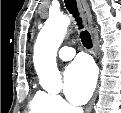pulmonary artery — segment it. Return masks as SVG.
Instances as JSON below:
<instances>
[{"label": "pulmonary artery", "mask_w": 121, "mask_h": 113, "mask_svg": "<svg viewBox=\"0 0 121 113\" xmlns=\"http://www.w3.org/2000/svg\"><path fill=\"white\" fill-rule=\"evenodd\" d=\"M75 49L71 46H63L58 52V58L61 61H70L75 56Z\"/></svg>", "instance_id": "pulmonary-artery-1"}]
</instances>
